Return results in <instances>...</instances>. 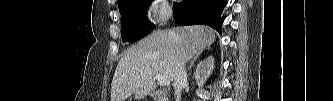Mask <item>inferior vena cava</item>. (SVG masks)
<instances>
[{
	"instance_id": "inferior-vena-cava-1",
	"label": "inferior vena cava",
	"mask_w": 333,
	"mask_h": 101,
	"mask_svg": "<svg viewBox=\"0 0 333 101\" xmlns=\"http://www.w3.org/2000/svg\"><path fill=\"white\" fill-rule=\"evenodd\" d=\"M186 82H187V72L185 68V61H183L177 70L175 80L173 83L175 90V101L181 100V92Z\"/></svg>"
}]
</instances>
